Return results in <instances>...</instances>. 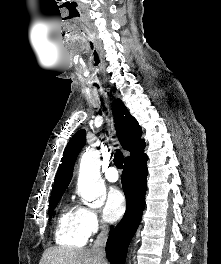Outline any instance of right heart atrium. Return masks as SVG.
<instances>
[{
  "label": "right heart atrium",
  "instance_id": "d8ad5b80",
  "mask_svg": "<svg viewBox=\"0 0 221 264\" xmlns=\"http://www.w3.org/2000/svg\"><path fill=\"white\" fill-rule=\"evenodd\" d=\"M83 220L86 231L89 236L98 232L99 230L104 229V224L102 220L99 218L97 211L93 209H83Z\"/></svg>",
  "mask_w": 221,
  "mask_h": 264
}]
</instances>
